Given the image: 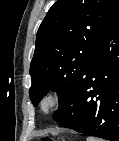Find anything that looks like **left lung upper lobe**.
Segmentation results:
<instances>
[{
  "label": "left lung upper lobe",
  "instance_id": "obj_1",
  "mask_svg": "<svg viewBox=\"0 0 119 141\" xmlns=\"http://www.w3.org/2000/svg\"><path fill=\"white\" fill-rule=\"evenodd\" d=\"M119 13V0H58L36 37L30 99L37 106L49 91L60 103L77 86L102 35Z\"/></svg>",
  "mask_w": 119,
  "mask_h": 141
}]
</instances>
